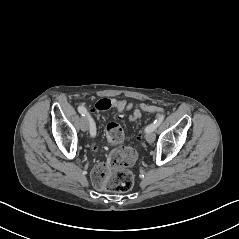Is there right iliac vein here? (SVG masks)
Segmentation results:
<instances>
[{
    "instance_id": "1",
    "label": "right iliac vein",
    "mask_w": 239,
    "mask_h": 239,
    "mask_svg": "<svg viewBox=\"0 0 239 239\" xmlns=\"http://www.w3.org/2000/svg\"><path fill=\"white\" fill-rule=\"evenodd\" d=\"M80 128L82 131H87L89 128V120L86 116L82 117L80 120Z\"/></svg>"
}]
</instances>
